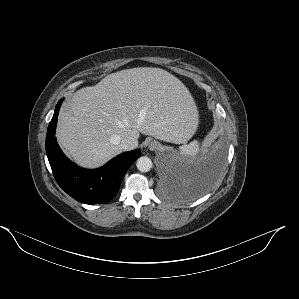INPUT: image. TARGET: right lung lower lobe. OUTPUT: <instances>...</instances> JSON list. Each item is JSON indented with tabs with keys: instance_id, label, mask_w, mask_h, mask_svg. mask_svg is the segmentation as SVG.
Segmentation results:
<instances>
[{
	"instance_id": "98d812e1",
	"label": "right lung lower lobe",
	"mask_w": 299,
	"mask_h": 299,
	"mask_svg": "<svg viewBox=\"0 0 299 299\" xmlns=\"http://www.w3.org/2000/svg\"><path fill=\"white\" fill-rule=\"evenodd\" d=\"M61 103L62 99L56 105L46 136V153L53 175L59 186L74 199L86 204L107 203L117 194L127 170L141 152H124L95 170L77 167L65 157L55 138Z\"/></svg>"
}]
</instances>
